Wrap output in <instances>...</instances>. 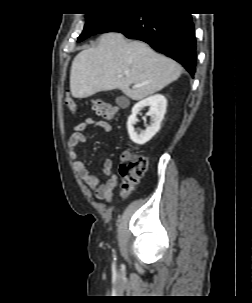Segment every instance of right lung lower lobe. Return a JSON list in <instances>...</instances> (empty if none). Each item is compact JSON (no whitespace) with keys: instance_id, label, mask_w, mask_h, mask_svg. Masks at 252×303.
Wrapping results in <instances>:
<instances>
[{"instance_id":"right-lung-lower-lobe-1","label":"right lung lower lobe","mask_w":252,"mask_h":303,"mask_svg":"<svg viewBox=\"0 0 252 303\" xmlns=\"http://www.w3.org/2000/svg\"><path fill=\"white\" fill-rule=\"evenodd\" d=\"M120 32L129 39L148 43L195 73V30L189 13L173 9H130L107 25L100 33Z\"/></svg>"}]
</instances>
